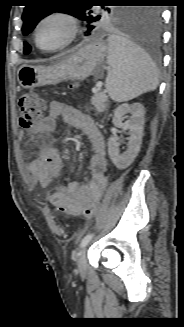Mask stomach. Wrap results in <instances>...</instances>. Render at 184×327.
I'll list each match as a JSON object with an SVG mask.
<instances>
[{
  "instance_id": "0dacf381",
  "label": "stomach",
  "mask_w": 184,
  "mask_h": 327,
  "mask_svg": "<svg viewBox=\"0 0 184 327\" xmlns=\"http://www.w3.org/2000/svg\"><path fill=\"white\" fill-rule=\"evenodd\" d=\"M107 52L104 41H95L48 67L22 65L17 70V80L21 87L31 89L63 80L82 81L90 75L99 77Z\"/></svg>"
}]
</instances>
